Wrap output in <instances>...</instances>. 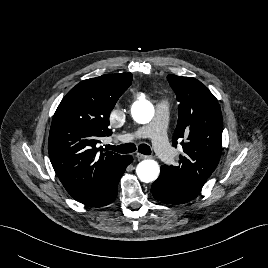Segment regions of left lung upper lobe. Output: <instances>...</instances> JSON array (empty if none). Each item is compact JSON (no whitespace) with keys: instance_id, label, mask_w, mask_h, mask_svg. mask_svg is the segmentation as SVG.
<instances>
[{"instance_id":"left-lung-upper-lobe-1","label":"left lung upper lobe","mask_w":268,"mask_h":268,"mask_svg":"<svg viewBox=\"0 0 268 268\" xmlns=\"http://www.w3.org/2000/svg\"><path fill=\"white\" fill-rule=\"evenodd\" d=\"M167 79L180 102L173 146L178 142L184 155L177 166H161L169 180L199 194L219 163L222 151L223 119L217 99L200 81L168 75Z\"/></svg>"}]
</instances>
